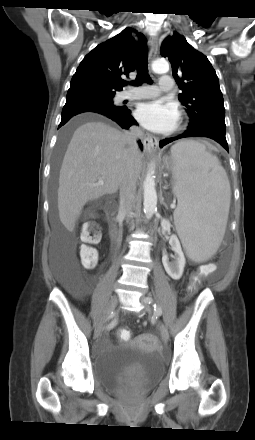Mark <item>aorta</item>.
<instances>
[{"mask_svg": "<svg viewBox=\"0 0 255 440\" xmlns=\"http://www.w3.org/2000/svg\"><path fill=\"white\" fill-rule=\"evenodd\" d=\"M152 70L155 73L161 74L169 71V64L167 61L158 59L152 63ZM153 170H149L143 184L144 188V213L146 217L151 218L157 209V193L155 189L154 179L152 177Z\"/></svg>", "mask_w": 255, "mask_h": 440, "instance_id": "aorta-1", "label": "aorta"}]
</instances>
